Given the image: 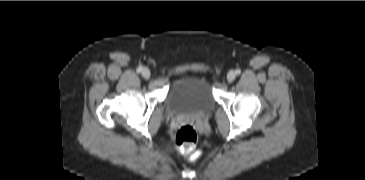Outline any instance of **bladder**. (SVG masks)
Returning <instances> with one entry per match:
<instances>
[{
  "label": "bladder",
  "mask_w": 365,
  "mask_h": 180,
  "mask_svg": "<svg viewBox=\"0 0 365 180\" xmlns=\"http://www.w3.org/2000/svg\"><path fill=\"white\" fill-rule=\"evenodd\" d=\"M215 105V98L207 78L200 74L181 76L169 89L167 113L171 115L202 114Z\"/></svg>",
  "instance_id": "bladder-1"
}]
</instances>
